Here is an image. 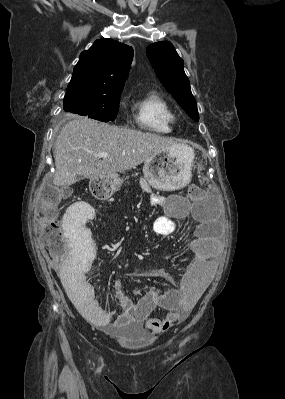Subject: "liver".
I'll return each mask as SVG.
<instances>
[{
  "label": "liver",
  "instance_id": "liver-1",
  "mask_svg": "<svg viewBox=\"0 0 285 399\" xmlns=\"http://www.w3.org/2000/svg\"><path fill=\"white\" fill-rule=\"evenodd\" d=\"M176 144L154 133L119 128L77 116L61 129L55 146L53 183L69 187L76 177L96 179L135 168ZM106 152L107 158L95 154Z\"/></svg>",
  "mask_w": 285,
  "mask_h": 399
}]
</instances>
